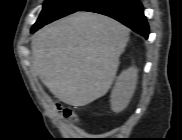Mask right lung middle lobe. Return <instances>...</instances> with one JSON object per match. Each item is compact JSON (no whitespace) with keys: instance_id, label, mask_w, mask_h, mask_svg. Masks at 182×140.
Returning a JSON list of instances; mask_svg holds the SVG:
<instances>
[{"instance_id":"dd1d6c3e","label":"right lung middle lobe","mask_w":182,"mask_h":140,"mask_svg":"<svg viewBox=\"0 0 182 140\" xmlns=\"http://www.w3.org/2000/svg\"><path fill=\"white\" fill-rule=\"evenodd\" d=\"M92 0H45L43 10L32 29H39L54 20L74 13Z\"/></svg>"}]
</instances>
